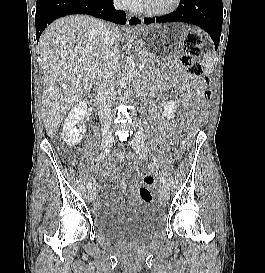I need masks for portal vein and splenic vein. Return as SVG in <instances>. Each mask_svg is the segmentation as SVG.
<instances>
[{"instance_id":"portal-vein-and-splenic-vein-1","label":"portal vein and splenic vein","mask_w":265,"mask_h":273,"mask_svg":"<svg viewBox=\"0 0 265 273\" xmlns=\"http://www.w3.org/2000/svg\"><path fill=\"white\" fill-rule=\"evenodd\" d=\"M140 56H143V53L140 52Z\"/></svg>"}]
</instances>
